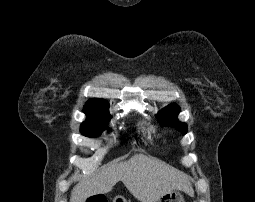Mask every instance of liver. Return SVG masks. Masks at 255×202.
<instances>
[{"instance_id": "obj_1", "label": "liver", "mask_w": 255, "mask_h": 202, "mask_svg": "<svg viewBox=\"0 0 255 202\" xmlns=\"http://www.w3.org/2000/svg\"><path fill=\"white\" fill-rule=\"evenodd\" d=\"M119 181L141 202H156L172 189L193 193L187 175L162 161L138 154L79 182L71 192L70 202H85L90 196L108 193Z\"/></svg>"}]
</instances>
